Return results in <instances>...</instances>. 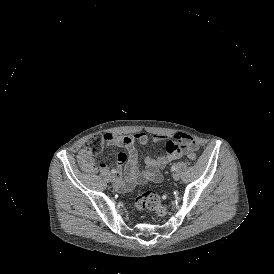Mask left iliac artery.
Segmentation results:
<instances>
[{
	"instance_id": "left-iliac-artery-1",
	"label": "left iliac artery",
	"mask_w": 274,
	"mask_h": 274,
	"mask_svg": "<svg viewBox=\"0 0 274 274\" xmlns=\"http://www.w3.org/2000/svg\"><path fill=\"white\" fill-rule=\"evenodd\" d=\"M176 170V167L173 165L172 167H171V171H175Z\"/></svg>"
}]
</instances>
